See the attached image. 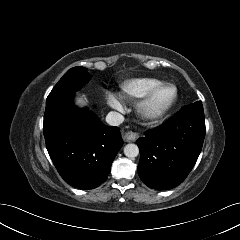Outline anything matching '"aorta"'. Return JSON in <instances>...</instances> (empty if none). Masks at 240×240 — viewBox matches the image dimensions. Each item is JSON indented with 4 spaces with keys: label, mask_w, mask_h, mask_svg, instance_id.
I'll return each instance as SVG.
<instances>
[{
    "label": "aorta",
    "mask_w": 240,
    "mask_h": 240,
    "mask_svg": "<svg viewBox=\"0 0 240 240\" xmlns=\"http://www.w3.org/2000/svg\"><path fill=\"white\" fill-rule=\"evenodd\" d=\"M124 154L129 158H135L139 154V148L136 144L130 143L124 147Z\"/></svg>",
    "instance_id": "obj_1"
}]
</instances>
